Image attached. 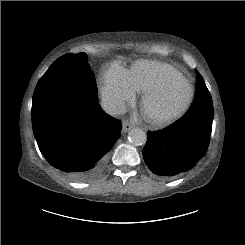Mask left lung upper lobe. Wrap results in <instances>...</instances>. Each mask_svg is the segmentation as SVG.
Returning <instances> with one entry per match:
<instances>
[{
  "mask_svg": "<svg viewBox=\"0 0 245 245\" xmlns=\"http://www.w3.org/2000/svg\"><path fill=\"white\" fill-rule=\"evenodd\" d=\"M203 79L202 76L197 72V80ZM196 80V81H197ZM206 96H210V92L206 94ZM199 97L194 99V102L192 103L191 107L187 111V113L183 116L185 119H191L193 116H191L193 113L198 112L200 108V104L198 103Z\"/></svg>",
  "mask_w": 245,
  "mask_h": 245,
  "instance_id": "left-lung-upper-lobe-1",
  "label": "left lung upper lobe"
}]
</instances>
